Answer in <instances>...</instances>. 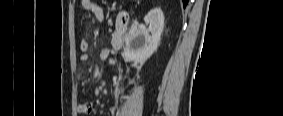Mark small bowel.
Segmentation results:
<instances>
[{
  "mask_svg": "<svg viewBox=\"0 0 283 116\" xmlns=\"http://www.w3.org/2000/svg\"><path fill=\"white\" fill-rule=\"evenodd\" d=\"M81 5H82L84 10L93 14L99 21H104L105 13H104L103 9L100 6H98L97 4H95L93 1L82 0ZM79 50L81 51V54H82L81 57H80V60L82 62L88 61V59H89V56H88L89 43H88L87 40H82L80 42ZM108 55H109V51L105 50L101 53V58L107 59ZM92 109H93V104L90 101L84 102L79 106V111L82 112V113H90V112H92ZM110 112H111L112 115H118L117 106L112 105L110 107Z\"/></svg>",
  "mask_w": 283,
  "mask_h": 116,
  "instance_id": "c3829d8e",
  "label": "small bowel"
}]
</instances>
